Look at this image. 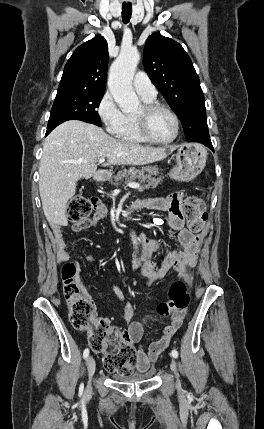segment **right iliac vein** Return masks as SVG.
Segmentation results:
<instances>
[{"mask_svg": "<svg viewBox=\"0 0 264 429\" xmlns=\"http://www.w3.org/2000/svg\"><path fill=\"white\" fill-rule=\"evenodd\" d=\"M86 365H87L88 377L90 382L95 373V368H96V363L92 356L87 357Z\"/></svg>", "mask_w": 264, "mask_h": 429, "instance_id": "right-iliac-vein-1", "label": "right iliac vein"}]
</instances>
